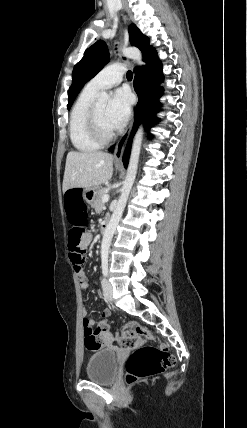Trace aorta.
I'll use <instances>...</instances> for the list:
<instances>
[{
	"label": "aorta",
	"instance_id": "762f6f07",
	"mask_svg": "<svg viewBox=\"0 0 247 428\" xmlns=\"http://www.w3.org/2000/svg\"><path fill=\"white\" fill-rule=\"evenodd\" d=\"M125 55L133 59L137 62L138 65H143L142 61V54L139 49L133 47L126 50ZM109 100V95L106 92H102L99 96V102L101 104H106ZM144 135V129L143 125L141 124L135 134L132 148H131V154L129 159V164L127 168V174L126 178L124 180L123 187L121 189V195L117 201L116 207L112 213V216L109 220V223L106 226L102 243H101V256L106 257L109 252V248L112 242V238L114 236L116 227L122 217L124 208L126 206L129 193L131 191V188L133 186L134 180L136 178L137 169H138V163H139V157L141 152V146H142V140Z\"/></svg>",
	"mask_w": 247,
	"mask_h": 428
}]
</instances>
